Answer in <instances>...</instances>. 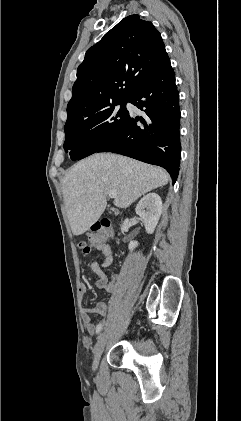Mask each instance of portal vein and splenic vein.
<instances>
[{"label": "portal vein and splenic vein", "mask_w": 241, "mask_h": 421, "mask_svg": "<svg viewBox=\"0 0 241 421\" xmlns=\"http://www.w3.org/2000/svg\"><path fill=\"white\" fill-rule=\"evenodd\" d=\"M117 196V194H116V192L115 191H110L109 192V197L110 198H115Z\"/></svg>", "instance_id": "obj_1"}]
</instances>
